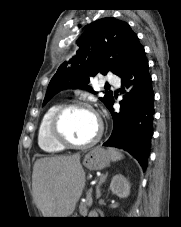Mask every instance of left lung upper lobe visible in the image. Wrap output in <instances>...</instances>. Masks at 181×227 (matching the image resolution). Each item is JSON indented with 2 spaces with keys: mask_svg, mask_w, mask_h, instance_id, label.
Listing matches in <instances>:
<instances>
[{
  "mask_svg": "<svg viewBox=\"0 0 181 227\" xmlns=\"http://www.w3.org/2000/svg\"><path fill=\"white\" fill-rule=\"evenodd\" d=\"M138 43L137 35L126 22L109 17L93 22L77 40L76 55L61 64L51 79L43 105L63 89L84 86L94 92L85 85L97 73L105 75L111 71L119 76ZM113 99L111 91L101 98L107 108Z\"/></svg>",
  "mask_w": 181,
  "mask_h": 227,
  "instance_id": "5c2ea615",
  "label": "left lung upper lobe"
}]
</instances>
